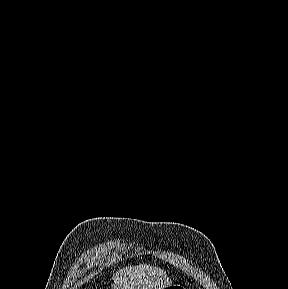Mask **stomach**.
<instances>
[{"instance_id": "0dacf381", "label": "stomach", "mask_w": 288, "mask_h": 289, "mask_svg": "<svg viewBox=\"0 0 288 289\" xmlns=\"http://www.w3.org/2000/svg\"><path fill=\"white\" fill-rule=\"evenodd\" d=\"M167 289H183V288L179 285H171V286H168Z\"/></svg>"}]
</instances>
